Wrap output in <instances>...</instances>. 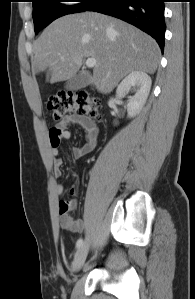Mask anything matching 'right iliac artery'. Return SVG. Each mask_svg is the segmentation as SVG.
<instances>
[{"label":"right iliac artery","instance_id":"obj_1","mask_svg":"<svg viewBox=\"0 0 195 299\" xmlns=\"http://www.w3.org/2000/svg\"><path fill=\"white\" fill-rule=\"evenodd\" d=\"M83 243V240L80 238L78 239L77 243H76V247L79 248Z\"/></svg>","mask_w":195,"mask_h":299}]
</instances>
